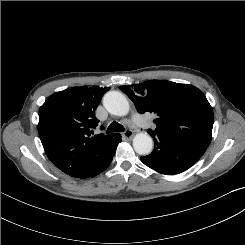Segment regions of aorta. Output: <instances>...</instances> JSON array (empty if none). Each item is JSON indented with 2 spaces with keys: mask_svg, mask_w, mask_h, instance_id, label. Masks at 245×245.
<instances>
[{
  "mask_svg": "<svg viewBox=\"0 0 245 245\" xmlns=\"http://www.w3.org/2000/svg\"><path fill=\"white\" fill-rule=\"evenodd\" d=\"M105 109L116 116H125L129 112L126 97L118 91H109L103 97ZM133 148L139 155H148L152 151L153 141L148 133H138L133 139Z\"/></svg>",
  "mask_w": 245,
  "mask_h": 245,
  "instance_id": "obj_1",
  "label": "aorta"
}]
</instances>
